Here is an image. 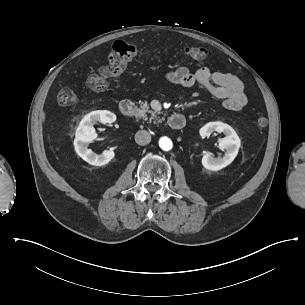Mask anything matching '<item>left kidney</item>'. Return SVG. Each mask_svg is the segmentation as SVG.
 Segmentation results:
<instances>
[{
  "label": "left kidney",
  "instance_id": "5707ae66",
  "mask_svg": "<svg viewBox=\"0 0 305 305\" xmlns=\"http://www.w3.org/2000/svg\"><path fill=\"white\" fill-rule=\"evenodd\" d=\"M214 131L224 133L225 137L219 140V148L226 150L223 157H213L210 152L202 158L203 166L212 171L220 170L229 165L237 156L240 147V139L235 130L228 124L216 121L209 122L200 129L202 138L209 137Z\"/></svg>",
  "mask_w": 305,
  "mask_h": 305
}]
</instances>
